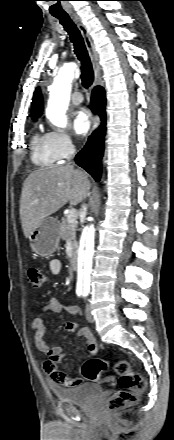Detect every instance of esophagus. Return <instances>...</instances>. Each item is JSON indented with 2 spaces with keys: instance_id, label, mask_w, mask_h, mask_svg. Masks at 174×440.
<instances>
[{
  "instance_id": "1",
  "label": "esophagus",
  "mask_w": 174,
  "mask_h": 440,
  "mask_svg": "<svg viewBox=\"0 0 174 440\" xmlns=\"http://www.w3.org/2000/svg\"><path fill=\"white\" fill-rule=\"evenodd\" d=\"M74 20H75V22H76V24H77V26H78V28H79V30L81 32V35H82V37L84 39L86 48L88 50V53H89V56H90V59H91V63H92L94 74H95V84H98V79L100 77V66H99V61H98L99 60L98 59V53H97V51L95 49L94 43H93V41H92V39L90 37V34H89L85 24L77 16H74ZM99 124H100L99 117H97V116L94 117V127L97 128L99 126Z\"/></svg>"
}]
</instances>
